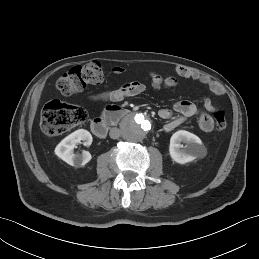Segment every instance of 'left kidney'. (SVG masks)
I'll return each mask as SVG.
<instances>
[{
    "mask_svg": "<svg viewBox=\"0 0 259 259\" xmlns=\"http://www.w3.org/2000/svg\"><path fill=\"white\" fill-rule=\"evenodd\" d=\"M181 142L186 145L183 146ZM201 147L202 142L198 136L185 130H179L170 139L169 153L173 161L185 164L198 157Z\"/></svg>",
    "mask_w": 259,
    "mask_h": 259,
    "instance_id": "left-kidney-1",
    "label": "left kidney"
}]
</instances>
